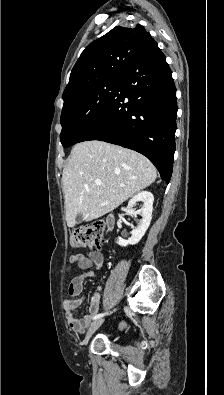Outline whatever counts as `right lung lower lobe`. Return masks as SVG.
Returning <instances> with one entry per match:
<instances>
[{
	"label": "right lung lower lobe",
	"instance_id": "obj_1",
	"mask_svg": "<svg viewBox=\"0 0 224 395\" xmlns=\"http://www.w3.org/2000/svg\"><path fill=\"white\" fill-rule=\"evenodd\" d=\"M154 39L123 74L106 108L78 141L100 140L145 155L167 183L173 169L176 88Z\"/></svg>",
	"mask_w": 224,
	"mask_h": 395
}]
</instances>
